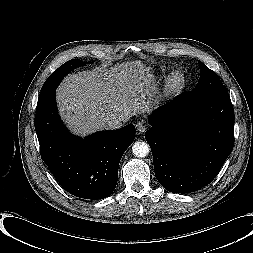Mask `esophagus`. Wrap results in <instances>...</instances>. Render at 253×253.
I'll list each match as a JSON object with an SVG mask.
<instances>
[{
  "mask_svg": "<svg viewBox=\"0 0 253 253\" xmlns=\"http://www.w3.org/2000/svg\"><path fill=\"white\" fill-rule=\"evenodd\" d=\"M147 127L143 122H138L136 124V130L140 133L143 134L146 131Z\"/></svg>",
  "mask_w": 253,
  "mask_h": 253,
  "instance_id": "esophagus-1",
  "label": "esophagus"
}]
</instances>
